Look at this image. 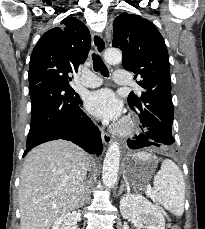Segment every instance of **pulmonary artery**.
<instances>
[{
	"mask_svg": "<svg viewBox=\"0 0 205 229\" xmlns=\"http://www.w3.org/2000/svg\"><path fill=\"white\" fill-rule=\"evenodd\" d=\"M114 82L118 85H127L130 82L129 73L124 69H117L114 72ZM81 83L90 88H95L101 85L102 80L91 72L84 73Z\"/></svg>",
	"mask_w": 205,
	"mask_h": 229,
	"instance_id": "1",
	"label": "pulmonary artery"
}]
</instances>
